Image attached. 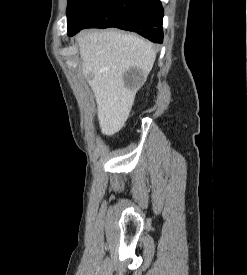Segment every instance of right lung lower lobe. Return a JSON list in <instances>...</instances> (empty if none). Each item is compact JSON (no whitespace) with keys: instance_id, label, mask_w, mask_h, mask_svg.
I'll return each instance as SVG.
<instances>
[{"instance_id":"98d812e1","label":"right lung lower lobe","mask_w":247,"mask_h":275,"mask_svg":"<svg viewBox=\"0 0 247 275\" xmlns=\"http://www.w3.org/2000/svg\"><path fill=\"white\" fill-rule=\"evenodd\" d=\"M163 14L160 0H103L81 14L68 29V35L73 36L84 28L116 27L162 43Z\"/></svg>"}]
</instances>
